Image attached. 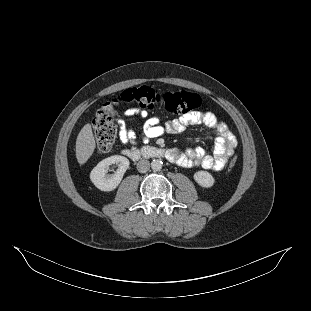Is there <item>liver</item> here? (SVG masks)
I'll return each mask as SVG.
<instances>
[{
    "label": "liver",
    "mask_w": 311,
    "mask_h": 311,
    "mask_svg": "<svg viewBox=\"0 0 311 311\" xmlns=\"http://www.w3.org/2000/svg\"><path fill=\"white\" fill-rule=\"evenodd\" d=\"M94 148L95 140L92 129L91 126L87 124L81 129L76 141V156L78 162L80 164L85 163L92 155Z\"/></svg>",
    "instance_id": "liver-1"
}]
</instances>
